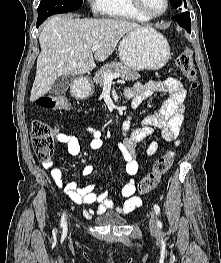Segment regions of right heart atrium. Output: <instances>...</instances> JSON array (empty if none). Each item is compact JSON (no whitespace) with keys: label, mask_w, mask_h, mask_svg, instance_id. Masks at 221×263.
Here are the masks:
<instances>
[{"label":"right heart atrium","mask_w":221,"mask_h":263,"mask_svg":"<svg viewBox=\"0 0 221 263\" xmlns=\"http://www.w3.org/2000/svg\"><path fill=\"white\" fill-rule=\"evenodd\" d=\"M94 13H101V0H87Z\"/></svg>","instance_id":"right-heart-atrium-1"}]
</instances>
